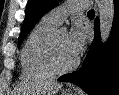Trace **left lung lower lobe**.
<instances>
[{
    "label": "left lung lower lobe",
    "mask_w": 119,
    "mask_h": 95,
    "mask_svg": "<svg viewBox=\"0 0 119 95\" xmlns=\"http://www.w3.org/2000/svg\"><path fill=\"white\" fill-rule=\"evenodd\" d=\"M115 15L110 37L100 42L99 20H95L94 41L79 71L59 80L73 82L90 95H119V0H114Z\"/></svg>",
    "instance_id": "obj_1"
}]
</instances>
